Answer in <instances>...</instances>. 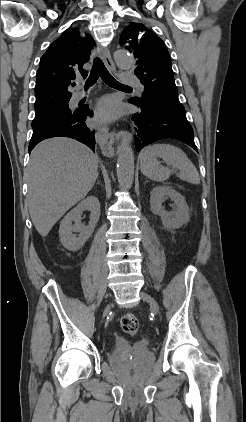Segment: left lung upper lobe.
<instances>
[{
  "instance_id": "obj_1",
  "label": "left lung upper lobe",
  "mask_w": 246,
  "mask_h": 422,
  "mask_svg": "<svg viewBox=\"0 0 246 422\" xmlns=\"http://www.w3.org/2000/svg\"><path fill=\"white\" fill-rule=\"evenodd\" d=\"M120 44L134 54L135 75L145 87L141 98L129 100L137 105L155 102L169 109L185 111L178 99L171 58L164 42L145 25L134 23L123 30Z\"/></svg>"
}]
</instances>
